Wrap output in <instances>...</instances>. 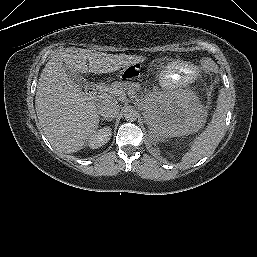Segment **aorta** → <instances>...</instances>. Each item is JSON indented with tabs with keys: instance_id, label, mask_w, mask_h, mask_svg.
Segmentation results:
<instances>
[{
	"instance_id": "1",
	"label": "aorta",
	"mask_w": 257,
	"mask_h": 257,
	"mask_svg": "<svg viewBox=\"0 0 257 257\" xmlns=\"http://www.w3.org/2000/svg\"><path fill=\"white\" fill-rule=\"evenodd\" d=\"M124 118L126 121L134 122L138 118V112L133 107H126L124 109Z\"/></svg>"
}]
</instances>
